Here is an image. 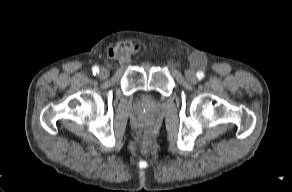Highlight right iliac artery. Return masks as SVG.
Segmentation results:
<instances>
[{
	"label": "right iliac artery",
	"mask_w": 292,
	"mask_h": 192,
	"mask_svg": "<svg viewBox=\"0 0 292 192\" xmlns=\"http://www.w3.org/2000/svg\"><path fill=\"white\" fill-rule=\"evenodd\" d=\"M92 71H93V74L96 75V74L99 73V68H98L97 66H94V67L92 68Z\"/></svg>",
	"instance_id": "82829eb1"
}]
</instances>
